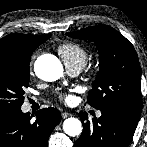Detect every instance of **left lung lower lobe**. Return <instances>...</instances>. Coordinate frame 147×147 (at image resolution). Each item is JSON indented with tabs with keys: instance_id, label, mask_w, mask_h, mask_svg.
<instances>
[{
	"instance_id": "left-lung-lower-lobe-1",
	"label": "left lung lower lobe",
	"mask_w": 147,
	"mask_h": 147,
	"mask_svg": "<svg viewBox=\"0 0 147 147\" xmlns=\"http://www.w3.org/2000/svg\"><path fill=\"white\" fill-rule=\"evenodd\" d=\"M101 117L92 122L87 113L80 112L83 132L74 147H128L138 120L114 109H101Z\"/></svg>"
}]
</instances>
